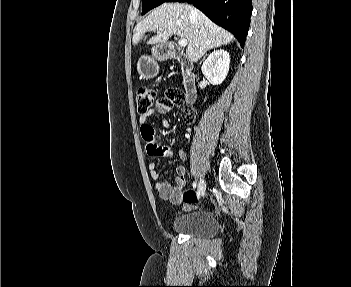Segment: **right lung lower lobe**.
Segmentation results:
<instances>
[{"instance_id":"obj_1","label":"right lung lower lobe","mask_w":351,"mask_h":287,"mask_svg":"<svg viewBox=\"0 0 351 287\" xmlns=\"http://www.w3.org/2000/svg\"><path fill=\"white\" fill-rule=\"evenodd\" d=\"M165 2L193 4L217 25L233 33L241 47H244L252 12L251 0H166Z\"/></svg>"}]
</instances>
